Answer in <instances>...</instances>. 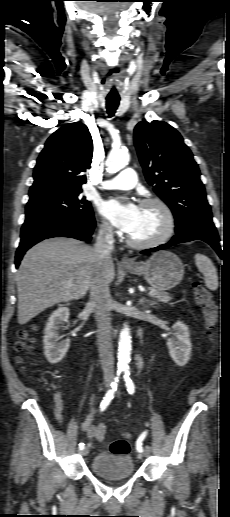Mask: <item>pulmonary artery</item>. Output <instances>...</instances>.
<instances>
[{
  "label": "pulmonary artery",
  "mask_w": 230,
  "mask_h": 517,
  "mask_svg": "<svg viewBox=\"0 0 230 517\" xmlns=\"http://www.w3.org/2000/svg\"><path fill=\"white\" fill-rule=\"evenodd\" d=\"M137 183L136 173L133 169H124L117 176L105 181L102 184L103 189L112 190H129L132 189Z\"/></svg>",
  "instance_id": "pulmonary-artery-1"
}]
</instances>
